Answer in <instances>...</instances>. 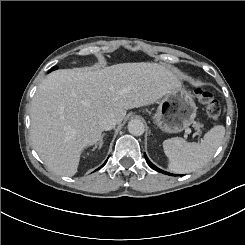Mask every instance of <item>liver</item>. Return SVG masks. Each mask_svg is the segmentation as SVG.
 <instances>
[{"mask_svg":"<svg viewBox=\"0 0 245 245\" xmlns=\"http://www.w3.org/2000/svg\"><path fill=\"white\" fill-rule=\"evenodd\" d=\"M180 85L172 70L150 62L53 71L32 100L33 145L50 170L73 176L81 150L100 138L101 115L111 114L121 123L127 109L150 104Z\"/></svg>","mask_w":245,"mask_h":245,"instance_id":"obj_1","label":"liver"}]
</instances>
